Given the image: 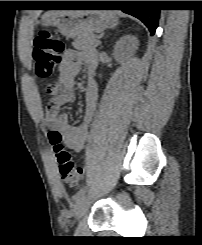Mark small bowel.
I'll return each instance as SVG.
<instances>
[{
  "label": "small bowel",
  "mask_w": 202,
  "mask_h": 245,
  "mask_svg": "<svg viewBox=\"0 0 202 245\" xmlns=\"http://www.w3.org/2000/svg\"><path fill=\"white\" fill-rule=\"evenodd\" d=\"M83 68L89 75L85 86L84 115L82 123L74 126L70 124L67 114H59V109L62 105L75 100V80ZM95 70L96 59L94 56H86L74 49H67L59 66L57 84L51 88L52 98L43 116L47 124L56 126L60 130L64 143L75 152H79L84 146L87 140L88 126L97 108L99 88L93 78Z\"/></svg>",
  "instance_id": "obj_1"
}]
</instances>
